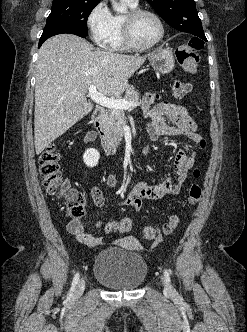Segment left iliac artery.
<instances>
[{
    "instance_id": "obj_1",
    "label": "left iliac artery",
    "mask_w": 247,
    "mask_h": 332,
    "mask_svg": "<svg viewBox=\"0 0 247 332\" xmlns=\"http://www.w3.org/2000/svg\"><path fill=\"white\" fill-rule=\"evenodd\" d=\"M164 277H165V279H166L167 282L171 281L170 274H169V272H168L167 269H164Z\"/></svg>"
}]
</instances>
